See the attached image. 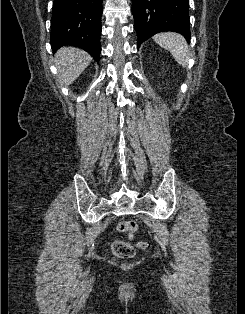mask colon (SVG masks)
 Masks as SVG:
<instances>
[{
	"mask_svg": "<svg viewBox=\"0 0 245 314\" xmlns=\"http://www.w3.org/2000/svg\"><path fill=\"white\" fill-rule=\"evenodd\" d=\"M118 230L121 232H126L129 234H133L138 230V224L133 220H125L118 223ZM137 246L141 249L147 247V244L144 242H140ZM111 251L113 255L121 259H129L135 255L136 249L135 247L127 241L123 240H115L111 245Z\"/></svg>",
	"mask_w": 245,
	"mask_h": 314,
	"instance_id": "1",
	"label": "colon"
}]
</instances>
